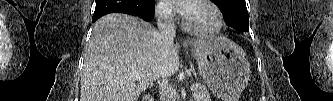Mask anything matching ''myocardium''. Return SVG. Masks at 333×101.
Segmentation results:
<instances>
[{
    "label": "myocardium",
    "mask_w": 333,
    "mask_h": 101,
    "mask_svg": "<svg viewBox=\"0 0 333 101\" xmlns=\"http://www.w3.org/2000/svg\"><path fill=\"white\" fill-rule=\"evenodd\" d=\"M193 2H200V3H203L207 6H209L216 15V18H217L216 25L213 29L208 30V31L196 30V29H193L192 27H190L188 25L185 17L182 16V22H181L182 28L185 31H187L188 33H191V34H193L195 36H199V37H207V36H212V35H215V34L219 33L221 31L222 27H223L224 20H223L222 12L218 8V6L210 0H196V1H193Z\"/></svg>",
    "instance_id": "myocardium-1"
}]
</instances>
